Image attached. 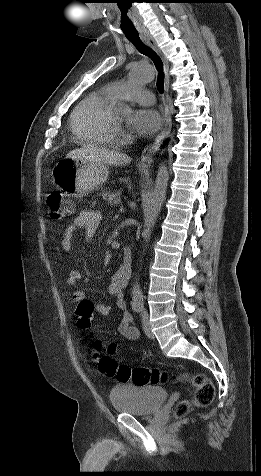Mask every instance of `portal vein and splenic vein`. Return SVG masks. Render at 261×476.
I'll list each match as a JSON object with an SVG mask.
<instances>
[{
  "label": "portal vein and splenic vein",
  "instance_id": "portal-vein-and-splenic-vein-1",
  "mask_svg": "<svg viewBox=\"0 0 261 476\" xmlns=\"http://www.w3.org/2000/svg\"><path fill=\"white\" fill-rule=\"evenodd\" d=\"M123 211H124V209L121 207V208H120V212H123Z\"/></svg>",
  "mask_w": 261,
  "mask_h": 476
}]
</instances>
